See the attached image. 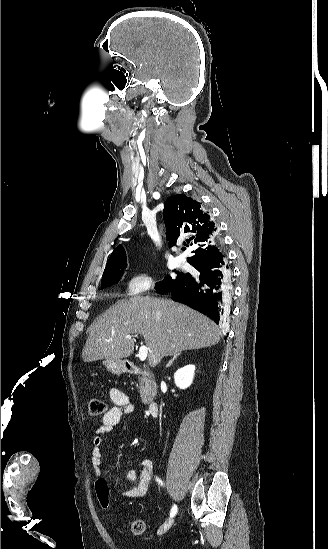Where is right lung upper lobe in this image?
<instances>
[{"mask_svg": "<svg viewBox=\"0 0 328 549\" xmlns=\"http://www.w3.org/2000/svg\"><path fill=\"white\" fill-rule=\"evenodd\" d=\"M163 219L171 246L176 244L178 237H182L186 241L185 246L196 248L188 258L191 265L223 257L218 228L199 202L185 194L171 196L164 204ZM123 260H126V254L122 245H118L109 257L105 270Z\"/></svg>", "mask_w": 328, "mask_h": 549, "instance_id": "1", "label": "right lung upper lobe"}]
</instances>
